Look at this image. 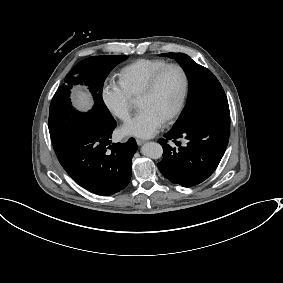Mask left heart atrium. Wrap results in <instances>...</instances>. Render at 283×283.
<instances>
[{"mask_svg": "<svg viewBox=\"0 0 283 283\" xmlns=\"http://www.w3.org/2000/svg\"><path fill=\"white\" fill-rule=\"evenodd\" d=\"M165 119L148 108L139 109L133 119L125 123L118 131L120 136L148 138L158 132Z\"/></svg>", "mask_w": 283, "mask_h": 283, "instance_id": "1", "label": "left heart atrium"}]
</instances>
